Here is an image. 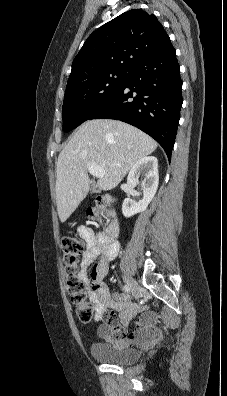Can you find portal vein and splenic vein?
Listing matches in <instances>:
<instances>
[{"label":"portal vein and splenic vein","instance_id":"1","mask_svg":"<svg viewBox=\"0 0 227 396\" xmlns=\"http://www.w3.org/2000/svg\"><path fill=\"white\" fill-rule=\"evenodd\" d=\"M87 169L91 175L97 178H102L105 174L104 170L96 164H88Z\"/></svg>","mask_w":227,"mask_h":396}]
</instances>
